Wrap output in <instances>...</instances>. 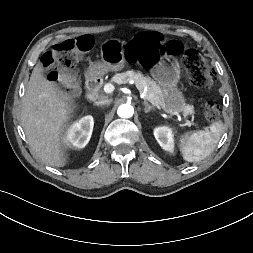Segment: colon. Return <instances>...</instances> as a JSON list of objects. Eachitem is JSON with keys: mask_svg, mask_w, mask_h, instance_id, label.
<instances>
[{"mask_svg": "<svg viewBox=\"0 0 253 253\" xmlns=\"http://www.w3.org/2000/svg\"><path fill=\"white\" fill-rule=\"evenodd\" d=\"M90 40L78 38L55 45L43 56V65L48 69L51 81H61L69 93H75L77 86L70 71L77 63L82 52L90 48ZM165 41L161 35H136L127 45V56L130 61L143 66L152 65L157 57V51L164 47ZM169 54H182L183 74L185 80L193 87L210 88L215 81L214 71L207 61L195 49H183L179 41H169L163 48ZM207 121L213 122L220 117V105L215 98L208 99L203 108Z\"/></svg>", "mask_w": 253, "mask_h": 253, "instance_id": "obj_1", "label": "colon"}]
</instances>
